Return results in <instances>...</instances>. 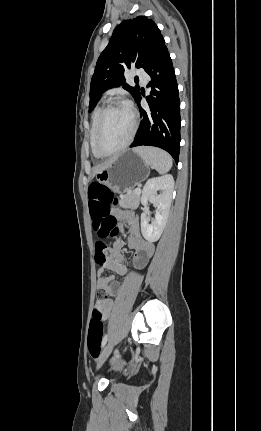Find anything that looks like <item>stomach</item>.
Instances as JSON below:
<instances>
[{
    "mask_svg": "<svg viewBox=\"0 0 261 431\" xmlns=\"http://www.w3.org/2000/svg\"><path fill=\"white\" fill-rule=\"evenodd\" d=\"M149 169V165L135 149L127 150L100 170L96 179L114 192L128 191L148 177Z\"/></svg>",
    "mask_w": 261,
    "mask_h": 431,
    "instance_id": "stomach-1",
    "label": "stomach"
}]
</instances>
